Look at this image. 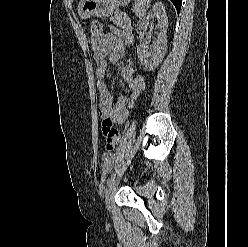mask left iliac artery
<instances>
[{"instance_id":"1","label":"left iliac artery","mask_w":248,"mask_h":247,"mask_svg":"<svg viewBox=\"0 0 248 247\" xmlns=\"http://www.w3.org/2000/svg\"><path fill=\"white\" fill-rule=\"evenodd\" d=\"M116 176V173H113L111 178L107 181V184L110 182L111 179H113Z\"/></svg>"}]
</instances>
